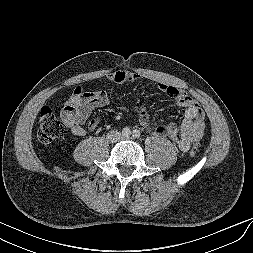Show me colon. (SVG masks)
<instances>
[{
    "label": "colon",
    "instance_id": "obj_1",
    "mask_svg": "<svg viewBox=\"0 0 253 253\" xmlns=\"http://www.w3.org/2000/svg\"><path fill=\"white\" fill-rule=\"evenodd\" d=\"M68 125L64 120L58 118L57 113L44 107L39 115V124L37 130V138L42 144H49L54 140L62 138L66 135ZM200 151V146L194 144L190 149V154L196 156Z\"/></svg>",
    "mask_w": 253,
    "mask_h": 253
}]
</instances>
